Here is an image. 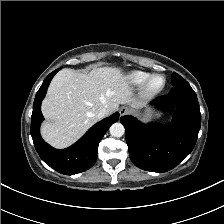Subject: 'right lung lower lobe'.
Returning <instances> with one entry per match:
<instances>
[{"label": "right lung lower lobe", "mask_w": 224, "mask_h": 224, "mask_svg": "<svg viewBox=\"0 0 224 224\" xmlns=\"http://www.w3.org/2000/svg\"><path fill=\"white\" fill-rule=\"evenodd\" d=\"M50 73L38 90L31 117V136L36 151L41 159L54 170L66 175L81 173L94 165L97 158L98 144L109 127L118 121L119 113L111 115L95 124L75 144L63 150H57L45 143L40 136L39 128L43 121L41 102L46 95L47 88L53 76L59 71Z\"/></svg>", "instance_id": "98d812e1"}]
</instances>
